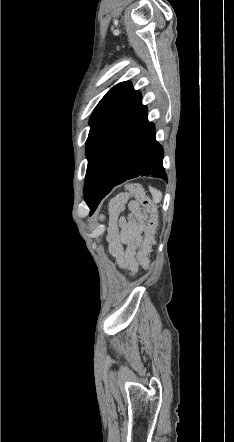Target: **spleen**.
<instances>
[{
	"label": "spleen",
	"instance_id": "1",
	"mask_svg": "<svg viewBox=\"0 0 234 442\" xmlns=\"http://www.w3.org/2000/svg\"><path fill=\"white\" fill-rule=\"evenodd\" d=\"M150 191L153 196V201L155 203H159L162 200V193L159 190L153 188H151Z\"/></svg>",
	"mask_w": 234,
	"mask_h": 442
}]
</instances>
